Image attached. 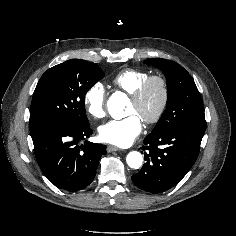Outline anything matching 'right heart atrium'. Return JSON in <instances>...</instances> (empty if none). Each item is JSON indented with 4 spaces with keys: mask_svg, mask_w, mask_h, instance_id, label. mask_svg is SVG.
<instances>
[{
    "mask_svg": "<svg viewBox=\"0 0 236 236\" xmlns=\"http://www.w3.org/2000/svg\"><path fill=\"white\" fill-rule=\"evenodd\" d=\"M84 105L88 114L99 119L105 115L106 92L102 84H93L84 95Z\"/></svg>",
    "mask_w": 236,
    "mask_h": 236,
    "instance_id": "obj_1",
    "label": "right heart atrium"
}]
</instances>
